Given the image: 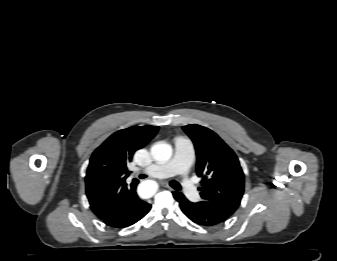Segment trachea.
Segmentation results:
<instances>
[{"label":"trachea","instance_id":"1","mask_svg":"<svg viewBox=\"0 0 337 261\" xmlns=\"http://www.w3.org/2000/svg\"><path fill=\"white\" fill-rule=\"evenodd\" d=\"M146 177H147L146 175H140V178H141V179H144V178H146ZM170 185H171V187L174 188L175 190H181L180 184H179L178 182H176V181H172V182L170 183Z\"/></svg>","mask_w":337,"mask_h":261}]
</instances>
